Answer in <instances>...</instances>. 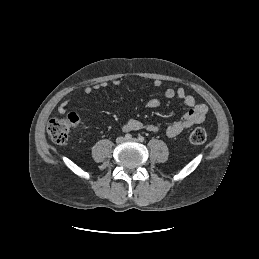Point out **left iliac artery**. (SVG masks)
<instances>
[{
	"label": "left iliac artery",
	"instance_id": "1",
	"mask_svg": "<svg viewBox=\"0 0 259 259\" xmlns=\"http://www.w3.org/2000/svg\"><path fill=\"white\" fill-rule=\"evenodd\" d=\"M138 140H139L140 142H143V141L145 140V138H144L143 136H139V137H138Z\"/></svg>",
	"mask_w": 259,
	"mask_h": 259
}]
</instances>
